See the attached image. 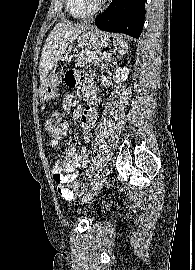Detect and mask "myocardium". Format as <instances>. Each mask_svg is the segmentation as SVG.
<instances>
[{"label": "myocardium", "mask_w": 195, "mask_h": 270, "mask_svg": "<svg viewBox=\"0 0 195 270\" xmlns=\"http://www.w3.org/2000/svg\"><path fill=\"white\" fill-rule=\"evenodd\" d=\"M106 0H84L85 4L91 7V9L95 12L97 11Z\"/></svg>", "instance_id": "f54148a6"}]
</instances>
